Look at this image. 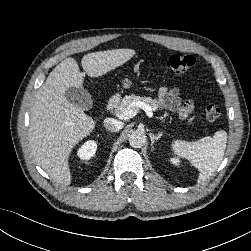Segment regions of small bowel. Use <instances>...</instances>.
Listing matches in <instances>:
<instances>
[{
    "mask_svg": "<svg viewBox=\"0 0 251 251\" xmlns=\"http://www.w3.org/2000/svg\"><path fill=\"white\" fill-rule=\"evenodd\" d=\"M158 97L168 110L177 112L181 119H187L193 111V102L191 100L182 102L177 88L161 87Z\"/></svg>",
    "mask_w": 251,
    "mask_h": 251,
    "instance_id": "obj_1",
    "label": "small bowel"
}]
</instances>
